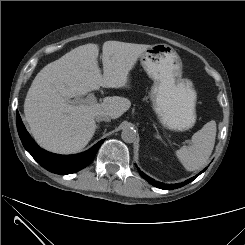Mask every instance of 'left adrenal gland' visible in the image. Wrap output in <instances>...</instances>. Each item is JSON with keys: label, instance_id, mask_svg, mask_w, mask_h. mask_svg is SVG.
<instances>
[{"label": "left adrenal gland", "instance_id": "a2214340", "mask_svg": "<svg viewBox=\"0 0 245 245\" xmlns=\"http://www.w3.org/2000/svg\"><path fill=\"white\" fill-rule=\"evenodd\" d=\"M153 126H154V128H155V130H156V135H155V137H156L157 139H160L162 142H164L163 139H162V137H161V135H160L159 132H158V129H157L156 125L153 124ZM164 143H165V142H164Z\"/></svg>", "mask_w": 245, "mask_h": 245}]
</instances>
